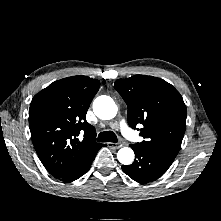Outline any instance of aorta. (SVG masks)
<instances>
[{"mask_svg":"<svg viewBox=\"0 0 221 221\" xmlns=\"http://www.w3.org/2000/svg\"><path fill=\"white\" fill-rule=\"evenodd\" d=\"M93 111L102 120H110L117 114L118 108L109 96H99L93 102ZM118 161L123 165H130L134 160V152L129 147L121 148L117 153Z\"/></svg>","mask_w":221,"mask_h":221,"instance_id":"aorta-1","label":"aorta"}]
</instances>
